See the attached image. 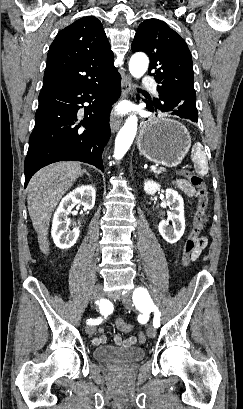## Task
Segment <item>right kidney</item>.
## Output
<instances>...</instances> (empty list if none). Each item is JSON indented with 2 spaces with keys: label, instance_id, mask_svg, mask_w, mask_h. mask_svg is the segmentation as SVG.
<instances>
[{
  "label": "right kidney",
  "instance_id": "ca27d5eb",
  "mask_svg": "<svg viewBox=\"0 0 243 409\" xmlns=\"http://www.w3.org/2000/svg\"><path fill=\"white\" fill-rule=\"evenodd\" d=\"M96 192L91 185L76 188L67 194L60 202L54 213L52 221L51 235L53 241L60 249L72 247L78 237L79 228L69 229L67 216L76 204H82L85 209H92L95 204Z\"/></svg>",
  "mask_w": 243,
  "mask_h": 409
}]
</instances>
